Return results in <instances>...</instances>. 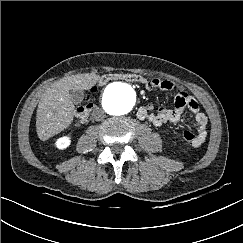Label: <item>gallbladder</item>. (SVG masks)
Wrapping results in <instances>:
<instances>
[{
    "mask_svg": "<svg viewBox=\"0 0 243 243\" xmlns=\"http://www.w3.org/2000/svg\"><path fill=\"white\" fill-rule=\"evenodd\" d=\"M71 101L74 104H79L83 100V92L78 90V91H71Z\"/></svg>",
    "mask_w": 243,
    "mask_h": 243,
    "instance_id": "bac80fb5",
    "label": "gallbladder"
}]
</instances>
